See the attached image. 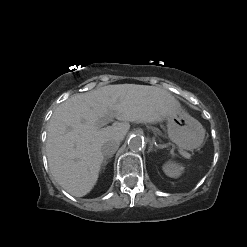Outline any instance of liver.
<instances>
[{
	"label": "liver",
	"instance_id": "obj_1",
	"mask_svg": "<svg viewBox=\"0 0 247 247\" xmlns=\"http://www.w3.org/2000/svg\"><path fill=\"white\" fill-rule=\"evenodd\" d=\"M176 104L168 91L136 84L108 85L70 97L56 108L48 125L46 152L54 180L71 195L85 196L98 180L102 145L122 141L130 122L164 120ZM104 117L120 122L101 128Z\"/></svg>",
	"mask_w": 247,
	"mask_h": 247
}]
</instances>
